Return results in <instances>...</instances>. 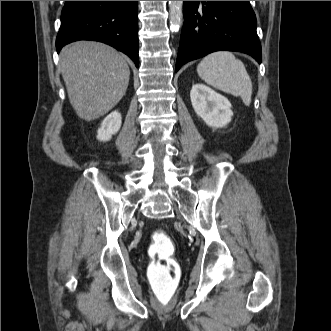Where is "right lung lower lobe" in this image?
I'll list each match as a JSON object with an SVG mask.
<instances>
[{
  "label": "right lung lower lobe",
  "mask_w": 331,
  "mask_h": 331,
  "mask_svg": "<svg viewBox=\"0 0 331 331\" xmlns=\"http://www.w3.org/2000/svg\"><path fill=\"white\" fill-rule=\"evenodd\" d=\"M137 14V1H66L57 52L73 41H100L128 55L138 67Z\"/></svg>",
  "instance_id": "obj_1"
}]
</instances>
